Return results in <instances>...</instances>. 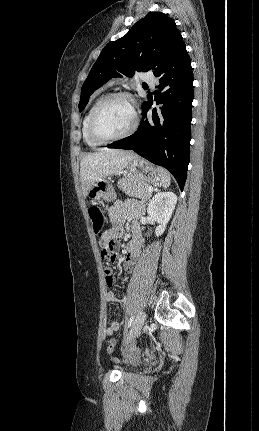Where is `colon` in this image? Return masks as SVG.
Returning a JSON list of instances; mask_svg holds the SVG:
<instances>
[{"mask_svg":"<svg viewBox=\"0 0 259 431\" xmlns=\"http://www.w3.org/2000/svg\"><path fill=\"white\" fill-rule=\"evenodd\" d=\"M89 217L92 222L93 230L99 238L101 246L102 257L110 262H114L117 259V251L114 246L112 239L108 238L106 230L104 228L105 220L102 210L98 206H91L88 209ZM116 343L113 339L108 341V353L114 354ZM150 351L147 350L145 355L148 356Z\"/></svg>","mask_w":259,"mask_h":431,"instance_id":"5ec220e1","label":"colon"}]
</instances>
